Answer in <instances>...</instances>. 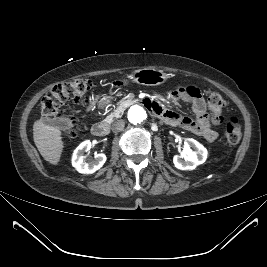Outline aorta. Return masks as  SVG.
I'll return each mask as SVG.
<instances>
[{"mask_svg": "<svg viewBox=\"0 0 267 267\" xmlns=\"http://www.w3.org/2000/svg\"><path fill=\"white\" fill-rule=\"evenodd\" d=\"M146 118H147V113L141 106L138 105L132 106L128 111V120L132 124L135 125L141 124L146 120Z\"/></svg>", "mask_w": 267, "mask_h": 267, "instance_id": "762f6f07", "label": "aorta"}]
</instances>
